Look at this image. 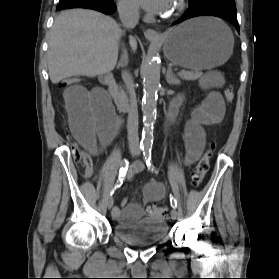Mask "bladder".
<instances>
[{
  "mask_svg": "<svg viewBox=\"0 0 279 279\" xmlns=\"http://www.w3.org/2000/svg\"><path fill=\"white\" fill-rule=\"evenodd\" d=\"M113 232L120 240L127 244L149 246L165 238L168 226L163 220L146 217L132 225L117 222L114 225Z\"/></svg>",
  "mask_w": 279,
  "mask_h": 279,
  "instance_id": "obj_1",
  "label": "bladder"
}]
</instances>
